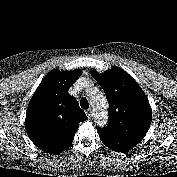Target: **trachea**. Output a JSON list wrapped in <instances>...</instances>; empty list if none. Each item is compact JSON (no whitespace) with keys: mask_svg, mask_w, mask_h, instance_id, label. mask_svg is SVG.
I'll return each instance as SVG.
<instances>
[{"mask_svg":"<svg viewBox=\"0 0 177 177\" xmlns=\"http://www.w3.org/2000/svg\"><path fill=\"white\" fill-rule=\"evenodd\" d=\"M80 105L83 109H88L89 108V103L86 98H82L80 101Z\"/></svg>","mask_w":177,"mask_h":177,"instance_id":"obj_1","label":"trachea"}]
</instances>
